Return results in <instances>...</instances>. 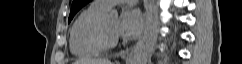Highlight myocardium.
Returning a JSON list of instances; mask_svg holds the SVG:
<instances>
[{
  "instance_id": "1",
  "label": "myocardium",
  "mask_w": 242,
  "mask_h": 64,
  "mask_svg": "<svg viewBox=\"0 0 242 64\" xmlns=\"http://www.w3.org/2000/svg\"><path fill=\"white\" fill-rule=\"evenodd\" d=\"M105 16L96 20L88 29V39L98 48L108 50L117 44L116 35H109L104 24Z\"/></svg>"
}]
</instances>
